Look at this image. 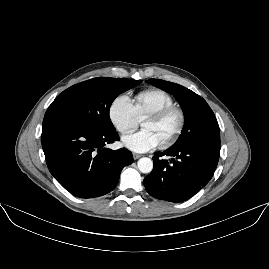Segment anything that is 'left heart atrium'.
<instances>
[{
    "instance_id": "obj_1",
    "label": "left heart atrium",
    "mask_w": 269,
    "mask_h": 269,
    "mask_svg": "<svg viewBox=\"0 0 269 269\" xmlns=\"http://www.w3.org/2000/svg\"><path fill=\"white\" fill-rule=\"evenodd\" d=\"M122 144L138 153L151 151L160 146L158 139L151 131H141L125 136L122 138Z\"/></svg>"
}]
</instances>
